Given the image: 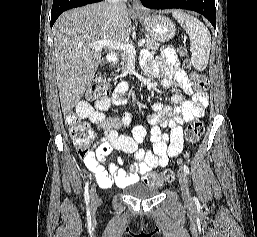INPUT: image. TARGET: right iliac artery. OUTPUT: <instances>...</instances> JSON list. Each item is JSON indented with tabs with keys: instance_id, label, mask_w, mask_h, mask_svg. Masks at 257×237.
Segmentation results:
<instances>
[{
	"instance_id": "obj_1",
	"label": "right iliac artery",
	"mask_w": 257,
	"mask_h": 237,
	"mask_svg": "<svg viewBox=\"0 0 257 237\" xmlns=\"http://www.w3.org/2000/svg\"><path fill=\"white\" fill-rule=\"evenodd\" d=\"M89 182L87 181L86 182V185H85V201H86V204L89 203Z\"/></svg>"
}]
</instances>
